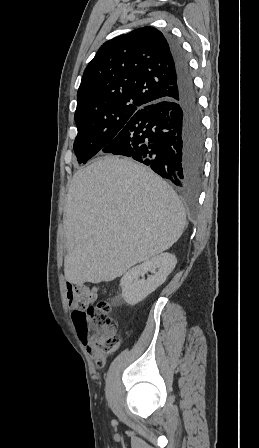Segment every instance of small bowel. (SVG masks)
Instances as JSON below:
<instances>
[{"label":"small bowel","mask_w":259,"mask_h":448,"mask_svg":"<svg viewBox=\"0 0 259 448\" xmlns=\"http://www.w3.org/2000/svg\"><path fill=\"white\" fill-rule=\"evenodd\" d=\"M67 299H68L69 306L71 308H76L74 299H73V288L70 284L67 285ZM86 350H87L88 354L95 360L96 366L98 368H102L106 362L105 355L92 344H87Z\"/></svg>","instance_id":"1"}]
</instances>
